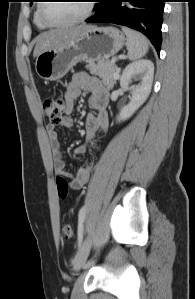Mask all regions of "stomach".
<instances>
[{
	"label": "stomach",
	"mask_w": 195,
	"mask_h": 299,
	"mask_svg": "<svg viewBox=\"0 0 195 299\" xmlns=\"http://www.w3.org/2000/svg\"><path fill=\"white\" fill-rule=\"evenodd\" d=\"M124 43V34L115 27L89 26L78 37L38 55L35 69L40 78L56 81L80 61L108 60Z\"/></svg>",
	"instance_id": "1"
}]
</instances>
